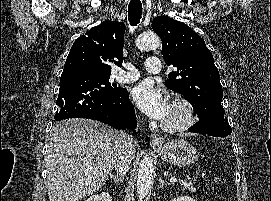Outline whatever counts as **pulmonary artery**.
<instances>
[{
	"instance_id": "pulmonary-artery-1",
	"label": "pulmonary artery",
	"mask_w": 271,
	"mask_h": 201,
	"mask_svg": "<svg viewBox=\"0 0 271 201\" xmlns=\"http://www.w3.org/2000/svg\"><path fill=\"white\" fill-rule=\"evenodd\" d=\"M145 67L148 73L157 74L161 70V61L157 57H149ZM125 68L127 71L122 70L116 75V80L118 82L131 83L139 79L140 74L133 65L126 64Z\"/></svg>"
}]
</instances>
